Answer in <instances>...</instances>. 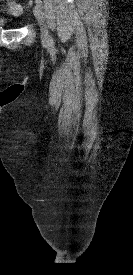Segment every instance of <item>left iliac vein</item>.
Segmentation results:
<instances>
[{"mask_svg": "<svg viewBox=\"0 0 133 275\" xmlns=\"http://www.w3.org/2000/svg\"><path fill=\"white\" fill-rule=\"evenodd\" d=\"M33 13H34V16L36 17V19L38 20V22L40 23L41 35H42L43 42H45V43L49 42L50 35L48 32L47 26L45 24V21H44V14L42 12L41 7L38 5H35V7L33 9Z\"/></svg>", "mask_w": 133, "mask_h": 275, "instance_id": "obj_1", "label": "left iliac vein"}]
</instances>
